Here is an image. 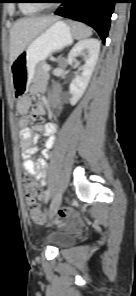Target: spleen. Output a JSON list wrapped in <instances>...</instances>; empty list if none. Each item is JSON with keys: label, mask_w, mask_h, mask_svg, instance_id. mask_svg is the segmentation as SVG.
Listing matches in <instances>:
<instances>
[{"label": "spleen", "mask_w": 136, "mask_h": 296, "mask_svg": "<svg viewBox=\"0 0 136 296\" xmlns=\"http://www.w3.org/2000/svg\"><path fill=\"white\" fill-rule=\"evenodd\" d=\"M72 33L76 39H83L92 35V29L83 23L73 22Z\"/></svg>", "instance_id": "3e777b00"}]
</instances>
